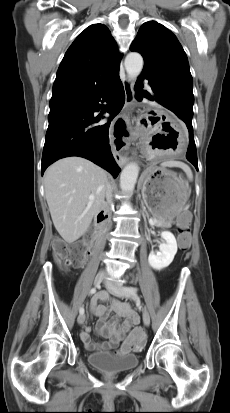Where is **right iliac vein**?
<instances>
[{"mask_svg": "<svg viewBox=\"0 0 230 413\" xmlns=\"http://www.w3.org/2000/svg\"><path fill=\"white\" fill-rule=\"evenodd\" d=\"M105 274L103 272H99L95 279H94V283L96 286L100 285V283L104 280ZM85 321V315L84 314H80L77 318V322L78 324H83Z\"/></svg>", "mask_w": 230, "mask_h": 413, "instance_id": "obj_1", "label": "right iliac vein"}]
</instances>
